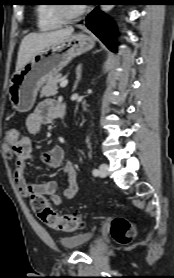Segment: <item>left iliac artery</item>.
Listing matches in <instances>:
<instances>
[{
	"label": "left iliac artery",
	"mask_w": 174,
	"mask_h": 278,
	"mask_svg": "<svg viewBox=\"0 0 174 278\" xmlns=\"http://www.w3.org/2000/svg\"><path fill=\"white\" fill-rule=\"evenodd\" d=\"M92 173H93L94 176H97V175L99 174V171H98L97 169H94V170L92 171Z\"/></svg>",
	"instance_id": "1"
}]
</instances>
